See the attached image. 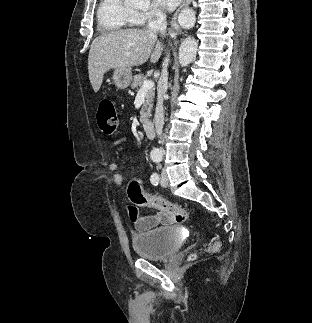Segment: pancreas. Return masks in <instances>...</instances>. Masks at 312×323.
Wrapping results in <instances>:
<instances>
[{
  "mask_svg": "<svg viewBox=\"0 0 312 323\" xmlns=\"http://www.w3.org/2000/svg\"><path fill=\"white\" fill-rule=\"evenodd\" d=\"M148 76H144V74H138V76H133L131 88L132 90H136L138 92L139 88L143 86L144 82H148ZM155 90L151 88L146 92L145 102L141 108L140 112V122H145L148 120L149 116H151V110L153 108L152 102H154Z\"/></svg>",
  "mask_w": 312,
  "mask_h": 323,
  "instance_id": "obj_1",
  "label": "pancreas"
}]
</instances>
